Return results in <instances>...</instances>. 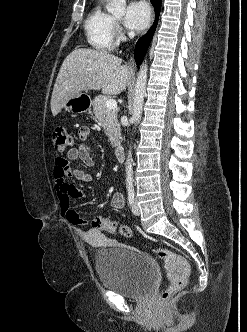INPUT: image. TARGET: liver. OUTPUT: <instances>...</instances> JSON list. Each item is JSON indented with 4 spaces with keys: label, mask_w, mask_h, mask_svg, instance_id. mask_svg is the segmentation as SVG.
<instances>
[{
    "label": "liver",
    "mask_w": 247,
    "mask_h": 332,
    "mask_svg": "<svg viewBox=\"0 0 247 332\" xmlns=\"http://www.w3.org/2000/svg\"><path fill=\"white\" fill-rule=\"evenodd\" d=\"M115 55L95 49L78 48L63 61L51 97V112L56 116L69 98L82 91L102 90L105 95L124 91L133 73Z\"/></svg>",
    "instance_id": "liver-1"
}]
</instances>
